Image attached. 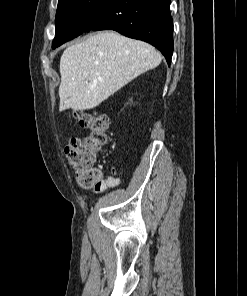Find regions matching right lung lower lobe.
Listing matches in <instances>:
<instances>
[{"label":"right lung lower lobe","instance_id":"98d812e1","mask_svg":"<svg viewBox=\"0 0 247 296\" xmlns=\"http://www.w3.org/2000/svg\"><path fill=\"white\" fill-rule=\"evenodd\" d=\"M170 0H107L95 9L83 32L115 30L155 46L171 63L173 20Z\"/></svg>","mask_w":247,"mask_h":296}]
</instances>
